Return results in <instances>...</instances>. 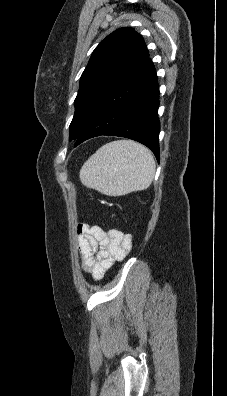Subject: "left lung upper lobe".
Listing matches in <instances>:
<instances>
[{
  "label": "left lung upper lobe",
  "instance_id": "1",
  "mask_svg": "<svg viewBox=\"0 0 227 396\" xmlns=\"http://www.w3.org/2000/svg\"><path fill=\"white\" fill-rule=\"evenodd\" d=\"M148 57L142 36L131 27L119 28L99 43L80 79L70 141L79 137L103 98Z\"/></svg>",
  "mask_w": 227,
  "mask_h": 396
}]
</instances>
